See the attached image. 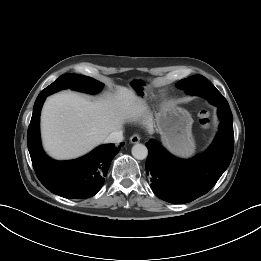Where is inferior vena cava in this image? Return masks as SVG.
I'll use <instances>...</instances> for the list:
<instances>
[{
    "mask_svg": "<svg viewBox=\"0 0 261 261\" xmlns=\"http://www.w3.org/2000/svg\"><path fill=\"white\" fill-rule=\"evenodd\" d=\"M123 141V131L116 130L110 133L104 140L105 143H119Z\"/></svg>",
    "mask_w": 261,
    "mask_h": 261,
    "instance_id": "obj_1",
    "label": "inferior vena cava"
}]
</instances>
